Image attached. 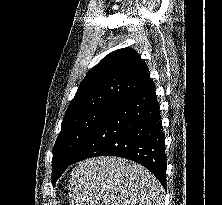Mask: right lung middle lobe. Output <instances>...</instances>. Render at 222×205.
I'll use <instances>...</instances> for the list:
<instances>
[{
    "mask_svg": "<svg viewBox=\"0 0 222 205\" xmlns=\"http://www.w3.org/2000/svg\"><path fill=\"white\" fill-rule=\"evenodd\" d=\"M112 107L114 106L98 107L63 119L61 131L53 148V184L70 165L86 138Z\"/></svg>",
    "mask_w": 222,
    "mask_h": 205,
    "instance_id": "obj_1",
    "label": "right lung middle lobe"
}]
</instances>
